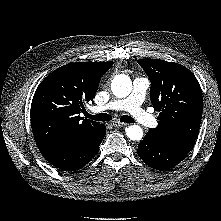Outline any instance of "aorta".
I'll list each match as a JSON object with an SVG mask.
<instances>
[{
	"mask_svg": "<svg viewBox=\"0 0 221 221\" xmlns=\"http://www.w3.org/2000/svg\"><path fill=\"white\" fill-rule=\"evenodd\" d=\"M111 90L118 98L127 97L132 91L131 79L124 74L117 75L112 81ZM126 135L129 139L138 141L143 137V130L138 125H131L126 129Z\"/></svg>",
	"mask_w": 221,
	"mask_h": 221,
	"instance_id": "1",
	"label": "aorta"
}]
</instances>
